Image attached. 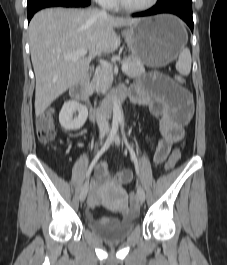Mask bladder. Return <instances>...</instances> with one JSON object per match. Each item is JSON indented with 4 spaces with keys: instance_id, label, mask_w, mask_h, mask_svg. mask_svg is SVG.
I'll use <instances>...</instances> for the list:
<instances>
[{
    "instance_id": "bladder-1",
    "label": "bladder",
    "mask_w": 227,
    "mask_h": 265,
    "mask_svg": "<svg viewBox=\"0 0 227 265\" xmlns=\"http://www.w3.org/2000/svg\"><path fill=\"white\" fill-rule=\"evenodd\" d=\"M89 229L106 242H118L126 239L135 228V217L126 216L120 219L104 220L88 218Z\"/></svg>"
}]
</instances>
